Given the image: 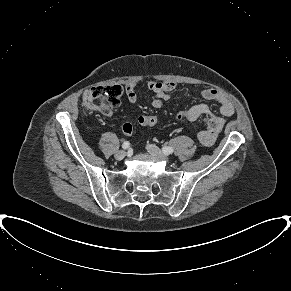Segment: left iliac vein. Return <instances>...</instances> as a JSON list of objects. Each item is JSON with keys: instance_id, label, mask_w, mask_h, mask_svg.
<instances>
[{"instance_id": "4c4485c4", "label": "left iliac vein", "mask_w": 291, "mask_h": 291, "mask_svg": "<svg viewBox=\"0 0 291 291\" xmlns=\"http://www.w3.org/2000/svg\"><path fill=\"white\" fill-rule=\"evenodd\" d=\"M146 149L150 155H152L154 157L161 158V159L168 160V156H166L157 146H155L153 144H148L146 146Z\"/></svg>"}]
</instances>
